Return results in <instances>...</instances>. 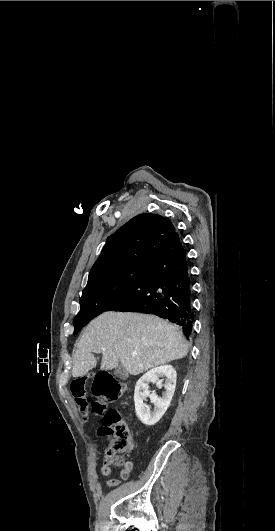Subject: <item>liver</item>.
I'll return each mask as SVG.
<instances>
[{"label":"liver","instance_id":"obj_1","mask_svg":"<svg viewBox=\"0 0 275 531\" xmlns=\"http://www.w3.org/2000/svg\"><path fill=\"white\" fill-rule=\"evenodd\" d=\"M106 349V351H102ZM102 353L101 371H112L119 363L130 375L183 359L188 345L180 329L163 319L141 313H103L89 323L73 355L72 377H83ZM132 353H137L132 357Z\"/></svg>","mask_w":275,"mask_h":531}]
</instances>
